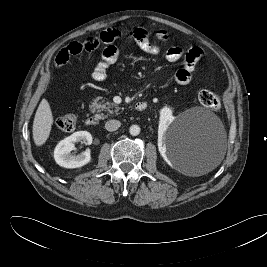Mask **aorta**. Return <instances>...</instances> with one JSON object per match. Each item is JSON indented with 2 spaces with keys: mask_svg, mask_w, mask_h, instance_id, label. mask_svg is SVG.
I'll list each match as a JSON object with an SVG mask.
<instances>
[{
  "mask_svg": "<svg viewBox=\"0 0 267 267\" xmlns=\"http://www.w3.org/2000/svg\"><path fill=\"white\" fill-rule=\"evenodd\" d=\"M129 132L132 136H137L140 134V127L138 125H132Z\"/></svg>",
  "mask_w": 267,
  "mask_h": 267,
  "instance_id": "aorta-1",
  "label": "aorta"
}]
</instances>
